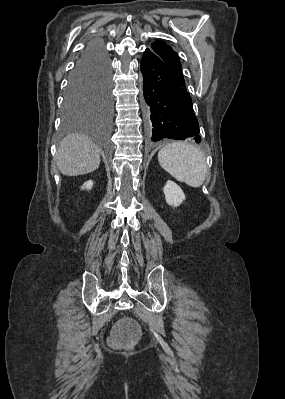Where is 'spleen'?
Here are the masks:
<instances>
[{
  "label": "spleen",
  "mask_w": 285,
  "mask_h": 399,
  "mask_svg": "<svg viewBox=\"0 0 285 399\" xmlns=\"http://www.w3.org/2000/svg\"><path fill=\"white\" fill-rule=\"evenodd\" d=\"M158 161L176 180L191 187H200L205 180V156L198 147L190 143H169L158 152Z\"/></svg>",
  "instance_id": "1"
}]
</instances>
